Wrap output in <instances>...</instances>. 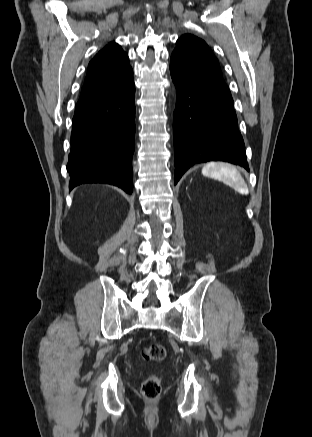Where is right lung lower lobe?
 I'll return each mask as SVG.
<instances>
[{
    "label": "right lung lower lobe",
    "mask_w": 312,
    "mask_h": 437,
    "mask_svg": "<svg viewBox=\"0 0 312 437\" xmlns=\"http://www.w3.org/2000/svg\"><path fill=\"white\" fill-rule=\"evenodd\" d=\"M134 100L132 72L114 89L76 104L67 164L70 190L105 183L132 193Z\"/></svg>",
    "instance_id": "right-lung-lower-lobe-1"
}]
</instances>
